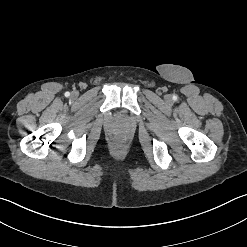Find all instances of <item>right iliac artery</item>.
I'll return each instance as SVG.
<instances>
[{
    "instance_id": "obj_1",
    "label": "right iliac artery",
    "mask_w": 247,
    "mask_h": 247,
    "mask_svg": "<svg viewBox=\"0 0 247 247\" xmlns=\"http://www.w3.org/2000/svg\"><path fill=\"white\" fill-rule=\"evenodd\" d=\"M69 95H70V93H69V92H66V93H65V96H66V97H68Z\"/></svg>"
}]
</instances>
